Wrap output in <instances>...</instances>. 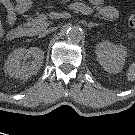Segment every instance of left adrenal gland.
Masks as SVG:
<instances>
[{
    "mask_svg": "<svg viewBox=\"0 0 135 135\" xmlns=\"http://www.w3.org/2000/svg\"><path fill=\"white\" fill-rule=\"evenodd\" d=\"M98 25H101V24H99V23H92V22L86 23V26H87L89 29H90L91 27L98 26Z\"/></svg>",
    "mask_w": 135,
    "mask_h": 135,
    "instance_id": "a2214340",
    "label": "left adrenal gland"
}]
</instances>
